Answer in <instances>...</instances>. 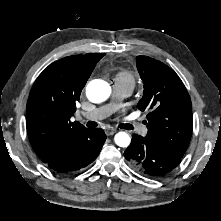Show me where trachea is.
I'll return each mask as SVG.
<instances>
[{"mask_svg":"<svg viewBox=\"0 0 221 221\" xmlns=\"http://www.w3.org/2000/svg\"><path fill=\"white\" fill-rule=\"evenodd\" d=\"M86 126L93 128V127L97 126V123L94 122V121H88V122H86ZM120 128L127 129V130H132L133 126L131 124L126 123V124H121Z\"/></svg>","mask_w":221,"mask_h":221,"instance_id":"trachea-1","label":"trachea"}]
</instances>
